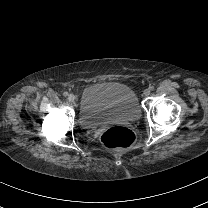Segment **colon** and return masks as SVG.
Segmentation results:
<instances>
[{"mask_svg": "<svg viewBox=\"0 0 208 208\" xmlns=\"http://www.w3.org/2000/svg\"><path fill=\"white\" fill-rule=\"evenodd\" d=\"M133 140L131 131L122 127H113L102 135L103 144L109 148L127 147Z\"/></svg>", "mask_w": 208, "mask_h": 208, "instance_id": "colon-1", "label": "colon"}]
</instances>
